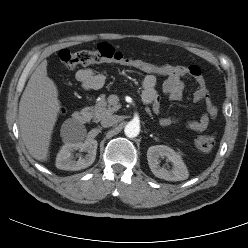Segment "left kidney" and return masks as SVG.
<instances>
[{
  "instance_id": "5707ae66",
  "label": "left kidney",
  "mask_w": 248,
  "mask_h": 248,
  "mask_svg": "<svg viewBox=\"0 0 248 248\" xmlns=\"http://www.w3.org/2000/svg\"><path fill=\"white\" fill-rule=\"evenodd\" d=\"M164 157L172 163V169L168 170L160 166L159 158ZM147 160L152 173L158 178L167 181H182L189 176L188 169L181 156L168 146L156 145L149 147Z\"/></svg>"
}]
</instances>
